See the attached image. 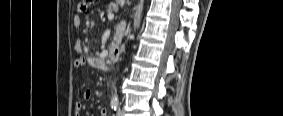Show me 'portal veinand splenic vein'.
I'll use <instances>...</instances> for the list:
<instances>
[{"mask_svg": "<svg viewBox=\"0 0 283 116\" xmlns=\"http://www.w3.org/2000/svg\"><path fill=\"white\" fill-rule=\"evenodd\" d=\"M113 18H114V14L112 13L108 14V20H113Z\"/></svg>", "mask_w": 283, "mask_h": 116, "instance_id": "portal-vein-and-splenic-vein-1", "label": "portal vein and splenic vein"}]
</instances>
